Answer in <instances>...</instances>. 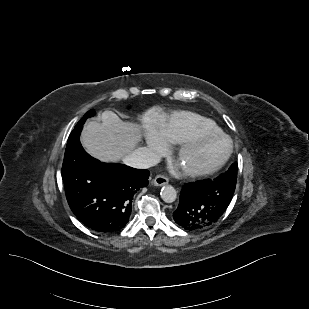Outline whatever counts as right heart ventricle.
<instances>
[{
    "label": "right heart ventricle",
    "mask_w": 309,
    "mask_h": 309,
    "mask_svg": "<svg viewBox=\"0 0 309 309\" xmlns=\"http://www.w3.org/2000/svg\"><path fill=\"white\" fill-rule=\"evenodd\" d=\"M158 135L171 144H179L198 132H221L211 119L190 111H178L156 125Z\"/></svg>",
    "instance_id": "1"
}]
</instances>
